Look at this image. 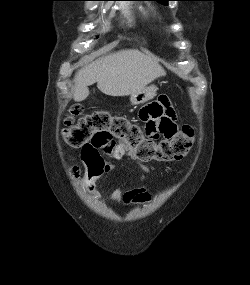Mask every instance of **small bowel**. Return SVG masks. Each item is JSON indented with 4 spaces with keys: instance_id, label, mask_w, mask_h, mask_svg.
Segmentation results:
<instances>
[{
    "instance_id": "small-bowel-1",
    "label": "small bowel",
    "mask_w": 250,
    "mask_h": 285,
    "mask_svg": "<svg viewBox=\"0 0 250 285\" xmlns=\"http://www.w3.org/2000/svg\"><path fill=\"white\" fill-rule=\"evenodd\" d=\"M139 117L143 121V136H150V141H167V136H176L178 128H176L175 111L167 98L162 97L157 101L151 102L141 108ZM126 152V146L123 143L117 145L113 156L121 159ZM81 158L84 162L87 172L85 175L86 187L90 190L94 182L104 173L109 172L112 167L104 161L98 152V149H82ZM145 172H149V168L140 164ZM150 199L147 189L142 186L130 191H122L116 189L111 197L113 202L145 203Z\"/></svg>"
}]
</instances>
